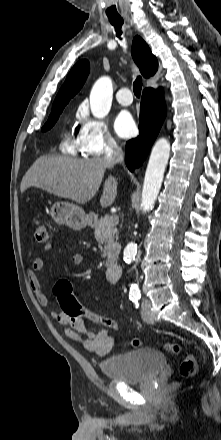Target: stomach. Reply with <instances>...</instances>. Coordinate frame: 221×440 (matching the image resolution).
I'll list each match as a JSON object with an SVG mask.
<instances>
[{"label": "stomach", "instance_id": "0dacf381", "mask_svg": "<svg viewBox=\"0 0 221 440\" xmlns=\"http://www.w3.org/2000/svg\"><path fill=\"white\" fill-rule=\"evenodd\" d=\"M50 215L56 223L73 230L83 229L92 220L80 206L64 201L54 203Z\"/></svg>", "mask_w": 221, "mask_h": 440}]
</instances>
